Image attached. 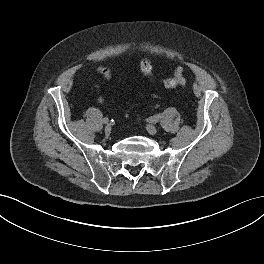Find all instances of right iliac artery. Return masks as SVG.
I'll return each instance as SVG.
<instances>
[{
	"label": "right iliac artery",
	"instance_id": "82829eb1",
	"mask_svg": "<svg viewBox=\"0 0 264 264\" xmlns=\"http://www.w3.org/2000/svg\"><path fill=\"white\" fill-rule=\"evenodd\" d=\"M108 121H109L108 117H104V118H103V122H104V123H108Z\"/></svg>",
	"mask_w": 264,
	"mask_h": 264
}]
</instances>
